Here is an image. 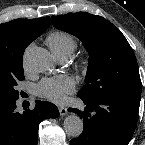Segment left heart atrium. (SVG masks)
<instances>
[{"instance_id": "39dd6f15", "label": "left heart atrium", "mask_w": 145, "mask_h": 145, "mask_svg": "<svg viewBox=\"0 0 145 145\" xmlns=\"http://www.w3.org/2000/svg\"><path fill=\"white\" fill-rule=\"evenodd\" d=\"M75 88V81L68 75L56 78L43 79L36 87L38 96L60 103L65 99V95L71 93Z\"/></svg>"}]
</instances>
